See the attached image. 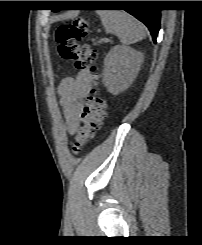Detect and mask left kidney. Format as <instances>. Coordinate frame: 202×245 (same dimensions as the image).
Returning a JSON list of instances; mask_svg holds the SVG:
<instances>
[{"label":"left kidney","instance_id":"left-kidney-1","mask_svg":"<svg viewBox=\"0 0 202 245\" xmlns=\"http://www.w3.org/2000/svg\"><path fill=\"white\" fill-rule=\"evenodd\" d=\"M143 54L128 46H114L104 60L103 84L113 95L125 91L136 78Z\"/></svg>","mask_w":202,"mask_h":245}]
</instances>
